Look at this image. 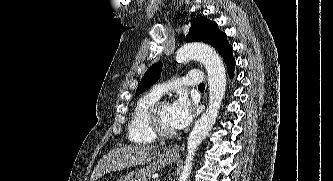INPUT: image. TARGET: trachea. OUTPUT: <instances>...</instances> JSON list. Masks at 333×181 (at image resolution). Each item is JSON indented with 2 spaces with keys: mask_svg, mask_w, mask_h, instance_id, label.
Listing matches in <instances>:
<instances>
[{
  "mask_svg": "<svg viewBox=\"0 0 333 181\" xmlns=\"http://www.w3.org/2000/svg\"><path fill=\"white\" fill-rule=\"evenodd\" d=\"M198 89L204 90L205 89V85L202 83L198 86Z\"/></svg>",
  "mask_w": 333,
  "mask_h": 181,
  "instance_id": "trachea-1",
  "label": "trachea"
}]
</instances>
